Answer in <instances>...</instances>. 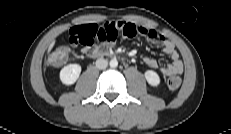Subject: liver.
I'll use <instances>...</instances> for the list:
<instances>
[{
    "instance_id": "obj_1",
    "label": "liver",
    "mask_w": 231,
    "mask_h": 134,
    "mask_svg": "<svg viewBox=\"0 0 231 134\" xmlns=\"http://www.w3.org/2000/svg\"><path fill=\"white\" fill-rule=\"evenodd\" d=\"M54 44H55V40L52 41V43L49 45V47H48V53H49V52L51 51V49L53 48Z\"/></svg>"
}]
</instances>
